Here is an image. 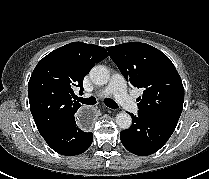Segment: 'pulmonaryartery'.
<instances>
[{"label":"pulmonary artery","mask_w":209,"mask_h":179,"mask_svg":"<svg viewBox=\"0 0 209 179\" xmlns=\"http://www.w3.org/2000/svg\"><path fill=\"white\" fill-rule=\"evenodd\" d=\"M110 95H113L117 103L126 111L132 113H136L138 111L137 103L127 93L124 78L119 73L112 75L110 82L104 89L93 94V96L99 98H104Z\"/></svg>","instance_id":"pulmonary-artery-1"}]
</instances>
